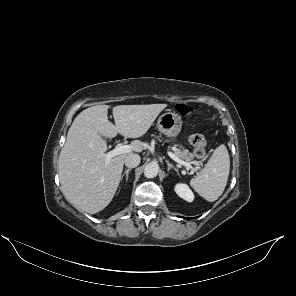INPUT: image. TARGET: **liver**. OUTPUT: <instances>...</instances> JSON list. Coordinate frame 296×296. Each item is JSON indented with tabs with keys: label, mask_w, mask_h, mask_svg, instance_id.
Segmentation results:
<instances>
[{
	"label": "liver",
	"mask_w": 296,
	"mask_h": 296,
	"mask_svg": "<svg viewBox=\"0 0 296 296\" xmlns=\"http://www.w3.org/2000/svg\"><path fill=\"white\" fill-rule=\"evenodd\" d=\"M166 107L167 104L115 106V125L108 119V105L83 110L70 126L59 155L58 174L66 200L89 214L107 207L120 183L125 158L132 153L120 154L107 163L101 156L107 151L105 138L118 133L128 138L143 136ZM130 146L141 152L145 144L135 140Z\"/></svg>",
	"instance_id": "6515ba94"
}]
</instances>
